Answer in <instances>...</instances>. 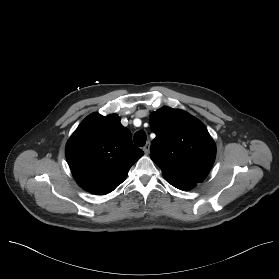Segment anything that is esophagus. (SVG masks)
I'll list each match as a JSON object with an SVG mask.
<instances>
[{
  "mask_svg": "<svg viewBox=\"0 0 279 279\" xmlns=\"http://www.w3.org/2000/svg\"><path fill=\"white\" fill-rule=\"evenodd\" d=\"M149 149H150V143L148 142L144 147H143V151L145 154L149 153Z\"/></svg>",
  "mask_w": 279,
  "mask_h": 279,
  "instance_id": "1",
  "label": "esophagus"
}]
</instances>
